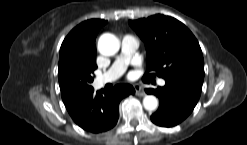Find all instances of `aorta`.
<instances>
[{
    "label": "aorta",
    "mask_w": 247,
    "mask_h": 145,
    "mask_svg": "<svg viewBox=\"0 0 247 145\" xmlns=\"http://www.w3.org/2000/svg\"><path fill=\"white\" fill-rule=\"evenodd\" d=\"M120 45L116 36L105 33L98 40V50L105 56H112L119 51ZM143 106L148 111H153L158 107V100L153 95H146L143 98Z\"/></svg>",
    "instance_id": "aorta-1"
}]
</instances>
